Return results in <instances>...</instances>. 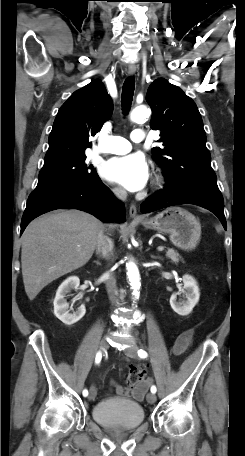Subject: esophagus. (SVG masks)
Returning a JSON list of instances; mask_svg holds the SVG:
<instances>
[{"label": "esophagus", "instance_id": "esophagus-1", "mask_svg": "<svg viewBox=\"0 0 245 456\" xmlns=\"http://www.w3.org/2000/svg\"><path fill=\"white\" fill-rule=\"evenodd\" d=\"M135 72H136V66L135 65H129L128 66V73L130 75H134ZM129 215L134 220H142L143 219V217L138 214L137 208H136V206L134 204H131L130 207H129Z\"/></svg>", "mask_w": 245, "mask_h": 456}]
</instances>
